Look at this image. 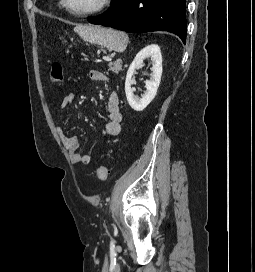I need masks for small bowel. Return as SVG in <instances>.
<instances>
[{"label":"small bowel","mask_w":255,"mask_h":272,"mask_svg":"<svg viewBox=\"0 0 255 272\" xmlns=\"http://www.w3.org/2000/svg\"><path fill=\"white\" fill-rule=\"evenodd\" d=\"M89 77L91 80L97 82H107L109 80V77L105 73L98 70H91ZM74 99L75 94L73 92L66 93L60 102V109L62 110L68 107ZM106 110L108 121L101 130V135L105 138H111L118 135L121 131L122 115L119 108V96L117 92L113 91L109 94ZM57 130L61 141L70 154L71 160L77 164L88 165L91 162V157L89 154L79 151V140L74 136L66 135L61 127H58Z\"/></svg>","instance_id":"1"}]
</instances>
